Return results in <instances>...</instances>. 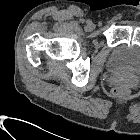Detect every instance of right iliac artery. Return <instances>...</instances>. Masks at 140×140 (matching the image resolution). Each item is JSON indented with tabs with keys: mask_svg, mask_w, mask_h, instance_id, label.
<instances>
[{
	"mask_svg": "<svg viewBox=\"0 0 140 140\" xmlns=\"http://www.w3.org/2000/svg\"><path fill=\"white\" fill-rule=\"evenodd\" d=\"M87 23L89 24V23H91V21L88 20Z\"/></svg>",
	"mask_w": 140,
	"mask_h": 140,
	"instance_id": "1",
	"label": "right iliac artery"
}]
</instances>
